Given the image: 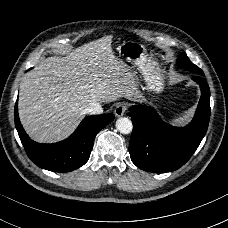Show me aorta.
Here are the masks:
<instances>
[{
    "label": "aorta",
    "instance_id": "1",
    "mask_svg": "<svg viewBox=\"0 0 228 228\" xmlns=\"http://www.w3.org/2000/svg\"><path fill=\"white\" fill-rule=\"evenodd\" d=\"M115 125L116 129L122 134H129L133 129L132 122L127 117L118 118Z\"/></svg>",
    "mask_w": 228,
    "mask_h": 228
}]
</instances>
